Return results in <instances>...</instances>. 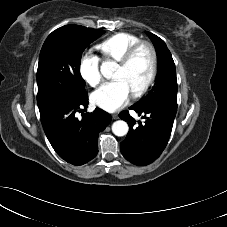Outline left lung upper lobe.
Here are the masks:
<instances>
[{
    "instance_id": "left-lung-upper-lobe-1",
    "label": "left lung upper lobe",
    "mask_w": 227,
    "mask_h": 227,
    "mask_svg": "<svg viewBox=\"0 0 227 227\" xmlns=\"http://www.w3.org/2000/svg\"><path fill=\"white\" fill-rule=\"evenodd\" d=\"M146 33L156 49L158 76L150 92L131 107H144L152 103H160L177 108V79L172 55L161 38L148 31Z\"/></svg>"
}]
</instances>
